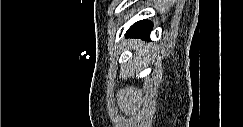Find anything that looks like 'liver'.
<instances>
[{"mask_svg":"<svg viewBox=\"0 0 243 127\" xmlns=\"http://www.w3.org/2000/svg\"><path fill=\"white\" fill-rule=\"evenodd\" d=\"M135 45L139 46V52H145L146 46H140V42L135 41Z\"/></svg>","mask_w":243,"mask_h":127,"instance_id":"obj_1","label":"liver"}]
</instances>
